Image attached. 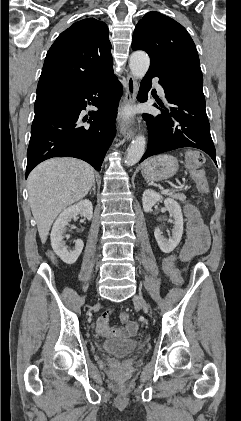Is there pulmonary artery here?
I'll return each mask as SVG.
<instances>
[{"mask_svg":"<svg viewBox=\"0 0 241 421\" xmlns=\"http://www.w3.org/2000/svg\"><path fill=\"white\" fill-rule=\"evenodd\" d=\"M154 85H155V88H156L157 92L159 93V95L164 97L165 91H164L163 87L157 81L154 82Z\"/></svg>","mask_w":241,"mask_h":421,"instance_id":"e3ab8cb5","label":"pulmonary artery"}]
</instances>
